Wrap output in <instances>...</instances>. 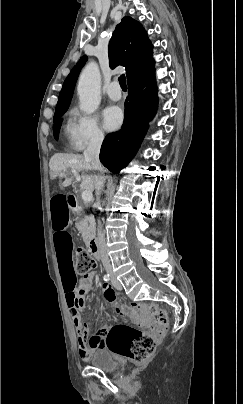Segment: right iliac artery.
Here are the masks:
<instances>
[{
	"label": "right iliac artery",
	"instance_id": "1",
	"mask_svg": "<svg viewBox=\"0 0 243 404\" xmlns=\"http://www.w3.org/2000/svg\"><path fill=\"white\" fill-rule=\"evenodd\" d=\"M109 280H110V275L109 274L104 275V281H109Z\"/></svg>",
	"mask_w": 243,
	"mask_h": 404
}]
</instances>
